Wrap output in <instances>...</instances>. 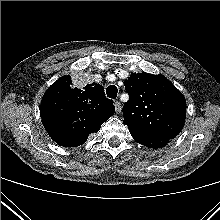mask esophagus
Masks as SVG:
<instances>
[{
	"mask_svg": "<svg viewBox=\"0 0 220 220\" xmlns=\"http://www.w3.org/2000/svg\"><path fill=\"white\" fill-rule=\"evenodd\" d=\"M114 106H115V112H116L117 114L120 113L121 110H122V106H121L120 102H119V101H116V102L114 103Z\"/></svg>",
	"mask_w": 220,
	"mask_h": 220,
	"instance_id": "34e87169",
	"label": "esophagus"
}]
</instances>
